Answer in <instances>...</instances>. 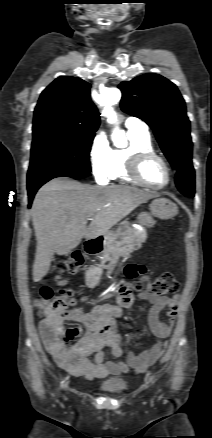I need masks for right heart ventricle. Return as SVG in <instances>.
Returning <instances> with one entry per match:
<instances>
[{"instance_id":"obj_1","label":"right heart ventricle","mask_w":212,"mask_h":438,"mask_svg":"<svg viewBox=\"0 0 212 438\" xmlns=\"http://www.w3.org/2000/svg\"><path fill=\"white\" fill-rule=\"evenodd\" d=\"M129 144L125 148L111 150V169L108 179L121 182L136 183L127 173V162L131 153L136 151H154L149 133L128 131Z\"/></svg>"}]
</instances>
